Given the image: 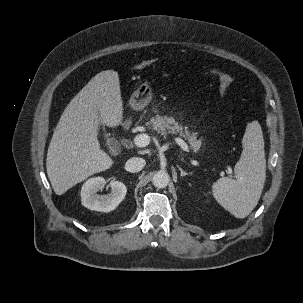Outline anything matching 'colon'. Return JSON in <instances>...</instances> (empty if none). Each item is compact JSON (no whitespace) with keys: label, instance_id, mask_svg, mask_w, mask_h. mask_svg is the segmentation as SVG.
I'll return each instance as SVG.
<instances>
[{"label":"colon","instance_id":"colon-1","mask_svg":"<svg viewBox=\"0 0 303 303\" xmlns=\"http://www.w3.org/2000/svg\"><path fill=\"white\" fill-rule=\"evenodd\" d=\"M153 64V60H145L141 61L135 66V69L141 70L145 69ZM211 74L214 75L219 83V89L222 95H226L231 87L233 86V79L232 77L226 73L225 71H222L220 69H211Z\"/></svg>","mask_w":303,"mask_h":303}]
</instances>
